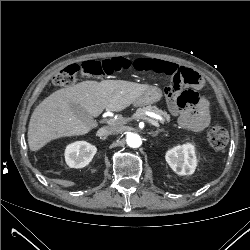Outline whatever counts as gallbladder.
Listing matches in <instances>:
<instances>
[{
	"label": "gallbladder",
	"instance_id": "1",
	"mask_svg": "<svg viewBox=\"0 0 250 250\" xmlns=\"http://www.w3.org/2000/svg\"><path fill=\"white\" fill-rule=\"evenodd\" d=\"M71 109L75 115L83 121H88V113L80 105L71 104Z\"/></svg>",
	"mask_w": 250,
	"mask_h": 250
}]
</instances>
